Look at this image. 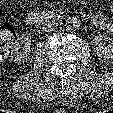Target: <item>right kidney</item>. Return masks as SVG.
<instances>
[{
    "label": "right kidney",
    "instance_id": "1",
    "mask_svg": "<svg viewBox=\"0 0 113 113\" xmlns=\"http://www.w3.org/2000/svg\"><path fill=\"white\" fill-rule=\"evenodd\" d=\"M31 39L27 34H22L18 37L11 47L10 60L15 63H24L30 56Z\"/></svg>",
    "mask_w": 113,
    "mask_h": 113
}]
</instances>
